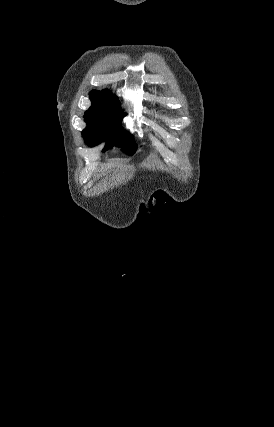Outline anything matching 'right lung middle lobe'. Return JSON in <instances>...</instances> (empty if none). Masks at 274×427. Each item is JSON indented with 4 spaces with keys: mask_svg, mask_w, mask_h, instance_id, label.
Segmentation results:
<instances>
[{
    "mask_svg": "<svg viewBox=\"0 0 274 427\" xmlns=\"http://www.w3.org/2000/svg\"><path fill=\"white\" fill-rule=\"evenodd\" d=\"M125 113H113L99 116H84L88 127L82 132L89 146L97 145L99 138L104 136L107 144L104 150L111 148L113 143L118 144L129 153L135 152L133 137L121 129V120Z\"/></svg>",
    "mask_w": 274,
    "mask_h": 427,
    "instance_id": "right-lung-middle-lobe-1",
    "label": "right lung middle lobe"
}]
</instances>
